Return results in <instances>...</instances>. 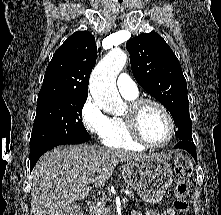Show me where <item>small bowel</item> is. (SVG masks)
<instances>
[{"label": "small bowel", "instance_id": "obj_1", "mask_svg": "<svg viewBox=\"0 0 221 215\" xmlns=\"http://www.w3.org/2000/svg\"><path fill=\"white\" fill-rule=\"evenodd\" d=\"M133 215H142L140 212L136 211ZM145 215H177L176 211L173 209H167L163 212H156L154 210L147 211Z\"/></svg>", "mask_w": 221, "mask_h": 215}]
</instances>
